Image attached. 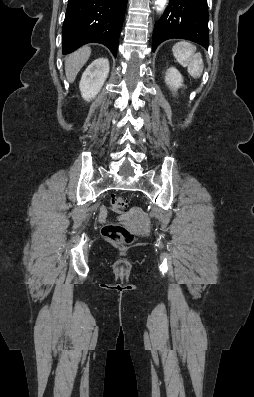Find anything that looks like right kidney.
Instances as JSON below:
<instances>
[{"mask_svg":"<svg viewBox=\"0 0 254 397\" xmlns=\"http://www.w3.org/2000/svg\"><path fill=\"white\" fill-rule=\"evenodd\" d=\"M109 74V61L107 58L94 60L84 71L79 88L82 97L90 101L98 94Z\"/></svg>","mask_w":254,"mask_h":397,"instance_id":"ca27d5eb","label":"right kidney"}]
</instances>
